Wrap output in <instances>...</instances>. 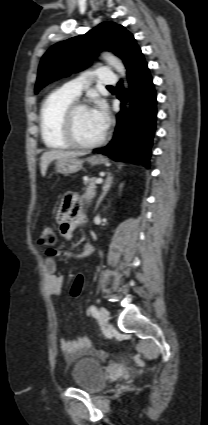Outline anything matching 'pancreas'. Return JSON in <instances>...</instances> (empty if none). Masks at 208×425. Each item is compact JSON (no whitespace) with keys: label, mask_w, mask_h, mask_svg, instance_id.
Segmentation results:
<instances>
[{"label":"pancreas","mask_w":208,"mask_h":425,"mask_svg":"<svg viewBox=\"0 0 208 425\" xmlns=\"http://www.w3.org/2000/svg\"><path fill=\"white\" fill-rule=\"evenodd\" d=\"M84 184L86 188L82 199H84L86 202H91L96 195V178H89L87 181L84 182Z\"/></svg>","instance_id":"pancreas-1"}]
</instances>
